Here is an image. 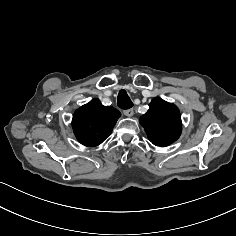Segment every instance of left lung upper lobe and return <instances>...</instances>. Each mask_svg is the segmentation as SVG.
<instances>
[{"mask_svg":"<svg viewBox=\"0 0 236 236\" xmlns=\"http://www.w3.org/2000/svg\"><path fill=\"white\" fill-rule=\"evenodd\" d=\"M149 140L156 146L165 147L176 141L182 130L179 109L161 98H154L148 111L140 117Z\"/></svg>","mask_w":236,"mask_h":236,"instance_id":"5c2ea615","label":"left lung upper lobe"}]
</instances>
